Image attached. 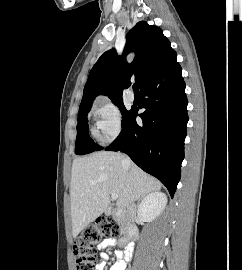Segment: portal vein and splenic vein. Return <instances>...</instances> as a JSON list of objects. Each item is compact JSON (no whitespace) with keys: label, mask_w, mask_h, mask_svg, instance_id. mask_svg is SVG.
I'll return each instance as SVG.
<instances>
[{"label":"portal vein and splenic vein","mask_w":242,"mask_h":270,"mask_svg":"<svg viewBox=\"0 0 242 270\" xmlns=\"http://www.w3.org/2000/svg\"><path fill=\"white\" fill-rule=\"evenodd\" d=\"M111 198H112L113 200H116V199H118V195H117L116 193H112V194H111Z\"/></svg>","instance_id":"portal-vein-and-splenic-vein-1"}]
</instances>
